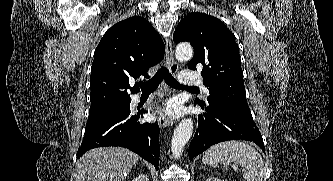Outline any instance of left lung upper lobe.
Instances as JSON below:
<instances>
[{
  "instance_id": "5c2ea615",
  "label": "left lung upper lobe",
  "mask_w": 333,
  "mask_h": 181,
  "mask_svg": "<svg viewBox=\"0 0 333 181\" xmlns=\"http://www.w3.org/2000/svg\"><path fill=\"white\" fill-rule=\"evenodd\" d=\"M173 39L176 43L186 41L193 46L195 53L188 64L189 69L197 70L203 65L201 76L210 93L206 103L251 114L238 46L222 21L192 12L178 24ZM194 103L206 104L199 99Z\"/></svg>"
}]
</instances>
